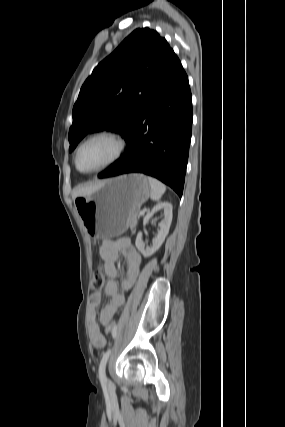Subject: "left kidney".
Wrapping results in <instances>:
<instances>
[{"label": "left kidney", "mask_w": 285, "mask_h": 427, "mask_svg": "<svg viewBox=\"0 0 285 427\" xmlns=\"http://www.w3.org/2000/svg\"><path fill=\"white\" fill-rule=\"evenodd\" d=\"M159 210H164V219L160 222L157 236L153 239L152 247H145V243L142 240V233H138L136 238V247L146 258L152 256L163 244L171 225L172 221V205L168 202H163L157 204L151 212H149L143 220V225L145 226L149 219Z\"/></svg>", "instance_id": "left-kidney-1"}]
</instances>
